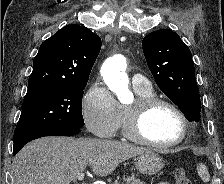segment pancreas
<instances>
[{"mask_svg":"<svg viewBox=\"0 0 224 184\" xmlns=\"http://www.w3.org/2000/svg\"><path fill=\"white\" fill-rule=\"evenodd\" d=\"M112 184H120L119 179L114 181ZM121 184H145V183L141 181L140 179L135 178L134 175H132V176H127L126 178H123V181Z\"/></svg>","mask_w":224,"mask_h":184,"instance_id":"pancreas-1","label":"pancreas"}]
</instances>
